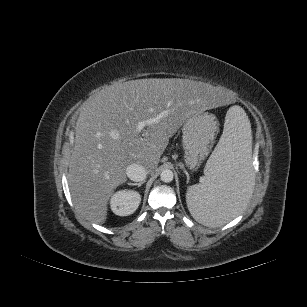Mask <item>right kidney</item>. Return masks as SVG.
I'll return each mask as SVG.
<instances>
[{
    "instance_id": "ca27d5eb",
    "label": "right kidney",
    "mask_w": 307,
    "mask_h": 307,
    "mask_svg": "<svg viewBox=\"0 0 307 307\" xmlns=\"http://www.w3.org/2000/svg\"><path fill=\"white\" fill-rule=\"evenodd\" d=\"M141 201V195L133 190H119L111 198L112 211L119 216L133 214Z\"/></svg>"
}]
</instances>
